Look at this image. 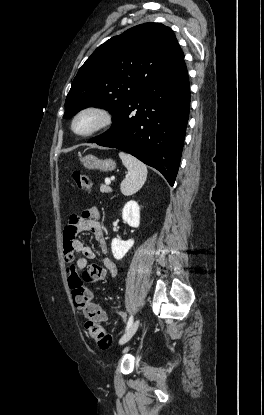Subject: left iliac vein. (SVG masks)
I'll use <instances>...</instances> for the list:
<instances>
[{
	"instance_id": "1",
	"label": "left iliac vein",
	"mask_w": 264,
	"mask_h": 415,
	"mask_svg": "<svg viewBox=\"0 0 264 415\" xmlns=\"http://www.w3.org/2000/svg\"><path fill=\"white\" fill-rule=\"evenodd\" d=\"M140 324V320L137 319L131 326L130 328L123 334V336L120 338L119 340V344H125L126 342H128L133 335L135 334V332L137 331L138 327Z\"/></svg>"
}]
</instances>
